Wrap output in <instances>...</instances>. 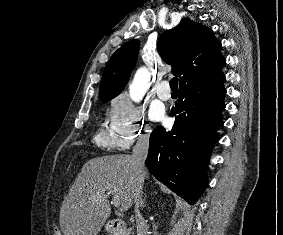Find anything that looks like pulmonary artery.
<instances>
[{
  "instance_id": "obj_1",
  "label": "pulmonary artery",
  "mask_w": 283,
  "mask_h": 235,
  "mask_svg": "<svg viewBox=\"0 0 283 235\" xmlns=\"http://www.w3.org/2000/svg\"><path fill=\"white\" fill-rule=\"evenodd\" d=\"M156 94L158 98L163 101H167L171 98V91L169 89V82L167 80H163L158 84L156 88Z\"/></svg>"
}]
</instances>
